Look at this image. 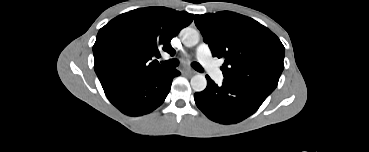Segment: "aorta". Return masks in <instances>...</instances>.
<instances>
[{"instance_id":"obj_1","label":"aorta","mask_w":369,"mask_h":152,"mask_svg":"<svg viewBox=\"0 0 369 152\" xmlns=\"http://www.w3.org/2000/svg\"><path fill=\"white\" fill-rule=\"evenodd\" d=\"M182 42L187 47H193L198 44L200 40V34L197 30L186 27L181 31ZM191 87L196 92L205 90L207 86V80L203 74L194 75L191 78Z\"/></svg>"}]
</instances>
